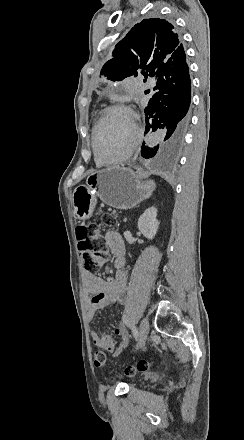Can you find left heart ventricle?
I'll use <instances>...</instances> for the list:
<instances>
[{
  "label": "left heart ventricle",
  "instance_id": "b2bd125f",
  "mask_svg": "<svg viewBox=\"0 0 244 440\" xmlns=\"http://www.w3.org/2000/svg\"><path fill=\"white\" fill-rule=\"evenodd\" d=\"M102 129L98 149L101 153H105L106 151H114L116 145H122L133 138L136 125L131 114L117 110L110 113Z\"/></svg>",
  "mask_w": 244,
  "mask_h": 440
}]
</instances>
